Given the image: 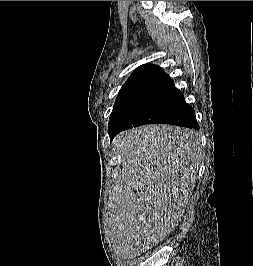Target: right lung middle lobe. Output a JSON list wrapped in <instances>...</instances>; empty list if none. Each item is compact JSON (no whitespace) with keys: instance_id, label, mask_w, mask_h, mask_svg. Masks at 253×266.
Returning a JSON list of instances; mask_svg holds the SVG:
<instances>
[{"instance_id":"right-lung-middle-lobe-1","label":"right lung middle lobe","mask_w":253,"mask_h":266,"mask_svg":"<svg viewBox=\"0 0 253 266\" xmlns=\"http://www.w3.org/2000/svg\"><path fill=\"white\" fill-rule=\"evenodd\" d=\"M174 86H157L116 99L109 124L126 123L130 128L156 123L168 112Z\"/></svg>"}]
</instances>
